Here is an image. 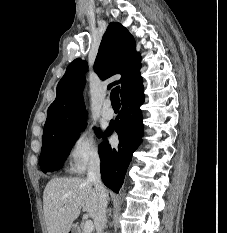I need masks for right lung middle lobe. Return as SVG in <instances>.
Here are the masks:
<instances>
[{
    "label": "right lung middle lobe",
    "instance_id": "dd1d6c3e",
    "mask_svg": "<svg viewBox=\"0 0 227 233\" xmlns=\"http://www.w3.org/2000/svg\"><path fill=\"white\" fill-rule=\"evenodd\" d=\"M83 126H78L71 131L56 137L52 140L42 142V151L40 154V167L44 173L53 172L61 168L63 162L70 153L72 146L79 136ZM97 135L102 137V133L97 131Z\"/></svg>",
    "mask_w": 227,
    "mask_h": 233
}]
</instances>
